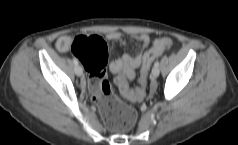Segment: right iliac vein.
<instances>
[{
  "mask_svg": "<svg viewBox=\"0 0 238 145\" xmlns=\"http://www.w3.org/2000/svg\"><path fill=\"white\" fill-rule=\"evenodd\" d=\"M75 74L77 76H81L83 74V69H82V67L80 65H76L75 66Z\"/></svg>",
  "mask_w": 238,
  "mask_h": 145,
  "instance_id": "obj_1",
  "label": "right iliac vein"
}]
</instances>
